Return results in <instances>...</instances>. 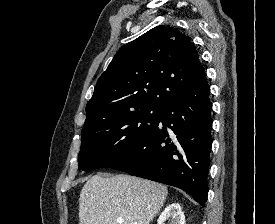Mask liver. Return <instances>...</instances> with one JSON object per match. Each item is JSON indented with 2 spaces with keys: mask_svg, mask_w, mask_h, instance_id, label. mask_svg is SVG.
Masks as SVG:
<instances>
[{
  "mask_svg": "<svg viewBox=\"0 0 275 224\" xmlns=\"http://www.w3.org/2000/svg\"><path fill=\"white\" fill-rule=\"evenodd\" d=\"M165 185L119 174L94 175L84 184L79 198V224H150L166 200Z\"/></svg>",
  "mask_w": 275,
  "mask_h": 224,
  "instance_id": "6515ba94",
  "label": "liver"
}]
</instances>
